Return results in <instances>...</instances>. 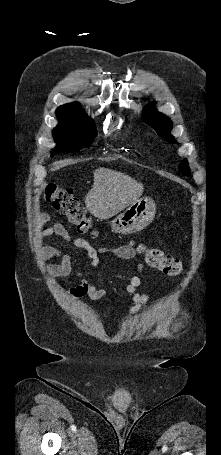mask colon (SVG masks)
I'll use <instances>...</instances> for the list:
<instances>
[{
	"mask_svg": "<svg viewBox=\"0 0 221 455\" xmlns=\"http://www.w3.org/2000/svg\"><path fill=\"white\" fill-rule=\"evenodd\" d=\"M45 199L56 211L75 225L80 233L97 235V232L93 230L91 217L70 188L50 183L45 188ZM139 250L150 267L167 275L175 276L182 270V262L179 259L166 255L159 248L142 245Z\"/></svg>",
	"mask_w": 221,
	"mask_h": 455,
	"instance_id": "colon-1",
	"label": "colon"
}]
</instances>
